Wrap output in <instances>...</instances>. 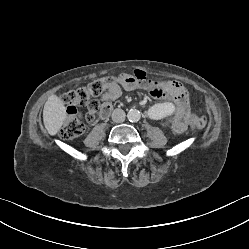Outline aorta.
<instances>
[{"instance_id": "aorta-1", "label": "aorta", "mask_w": 249, "mask_h": 249, "mask_svg": "<svg viewBox=\"0 0 249 249\" xmlns=\"http://www.w3.org/2000/svg\"><path fill=\"white\" fill-rule=\"evenodd\" d=\"M141 114L137 109H130L127 113V118L130 122H138L140 120Z\"/></svg>"}]
</instances>
